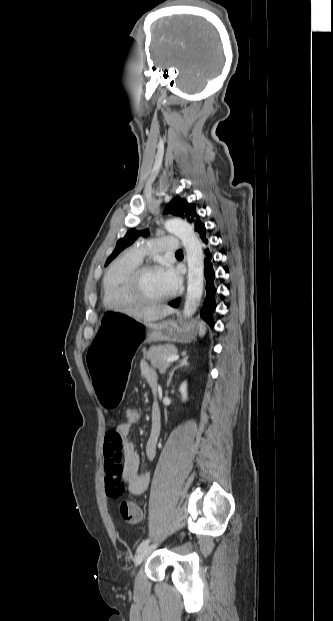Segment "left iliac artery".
Instances as JSON below:
<instances>
[{
	"label": "left iliac artery",
	"instance_id": "left-iliac-artery-1",
	"mask_svg": "<svg viewBox=\"0 0 333 621\" xmlns=\"http://www.w3.org/2000/svg\"><path fill=\"white\" fill-rule=\"evenodd\" d=\"M149 542H150V539H145V540H143V541L139 544V546H138V548H137V552H140L142 549H144L145 547H147V546H148V544H149Z\"/></svg>",
	"mask_w": 333,
	"mask_h": 621
}]
</instances>
